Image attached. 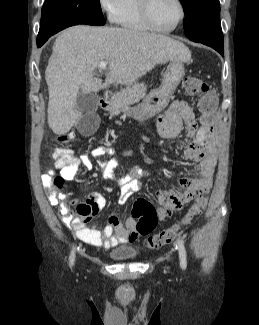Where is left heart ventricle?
Wrapping results in <instances>:
<instances>
[{
	"mask_svg": "<svg viewBox=\"0 0 259 325\" xmlns=\"http://www.w3.org/2000/svg\"><path fill=\"white\" fill-rule=\"evenodd\" d=\"M150 13L158 27L170 28L178 20L180 9L176 0H151Z\"/></svg>",
	"mask_w": 259,
	"mask_h": 325,
	"instance_id": "left-heart-ventricle-1",
	"label": "left heart ventricle"
}]
</instances>
